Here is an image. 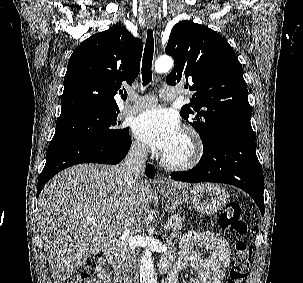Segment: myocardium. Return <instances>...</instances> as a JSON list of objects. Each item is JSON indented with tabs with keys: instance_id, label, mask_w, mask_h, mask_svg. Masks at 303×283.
<instances>
[{
	"instance_id": "1",
	"label": "myocardium",
	"mask_w": 303,
	"mask_h": 283,
	"mask_svg": "<svg viewBox=\"0 0 303 283\" xmlns=\"http://www.w3.org/2000/svg\"><path fill=\"white\" fill-rule=\"evenodd\" d=\"M182 134L189 143V154L181 160H171L164 154L161 157V164L167 169L175 171L190 170L200 162L203 156L204 147L199 133L192 127H186Z\"/></svg>"
}]
</instances>
